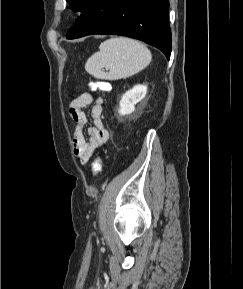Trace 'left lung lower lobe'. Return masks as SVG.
<instances>
[{"instance_id":"1","label":"left lung lower lobe","mask_w":243,"mask_h":289,"mask_svg":"<svg viewBox=\"0 0 243 289\" xmlns=\"http://www.w3.org/2000/svg\"><path fill=\"white\" fill-rule=\"evenodd\" d=\"M169 0H90L66 34L68 39L90 34H116L144 41L171 53Z\"/></svg>"}]
</instances>
